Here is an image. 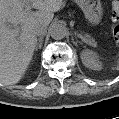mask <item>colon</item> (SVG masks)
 Segmentation results:
<instances>
[{"label": "colon", "mask_w": 119, "mask_h": 119, "mask_svg": "<svg viewBox=\"0 0 119 119\" xmlns=\"http://www.w3.org/2000/svg\"><path fill=\"white\" fill-rule=\"evenodd\" d=\"M112 33L115 41L119 42V2L113 1L111 5Z\"/></svg>", "instance_id": "5ec220e1"}]
</instances>
